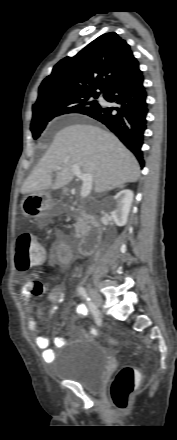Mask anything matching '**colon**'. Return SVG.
Segmentation results:
<instances>
[{"mask_svg": "<svg viewBox=\"0 0 177 440\" xmlns=\"http://www.w3.org/2000/svg\"><path fill=\"white\" fill-rule=\"evenodd\" d=\"M46 258L45 249L36 242L34 236L30 233L22 234L16 243V268L20 272L27 271L33 267L41 265ZM34 292L40 293L42 286L36 282ZM94 333L96 331L94 330ZM137 374L134 367L130 365L123 366L114 377L110 397L118 408H125L129 404V398L137 385Z\"/></svg>", "mask_w": 177, "mask_h": 440, "instance_id": "colon-1", "label": "colon"}]
</instances>
